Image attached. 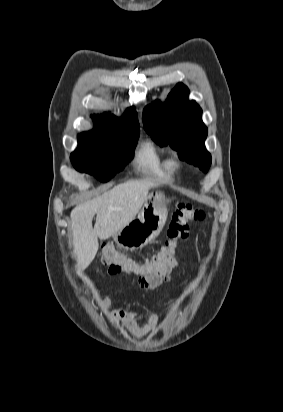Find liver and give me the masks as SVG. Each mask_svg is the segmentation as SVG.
Wrapping results in <instances>:
<instances>
[{"label": "liver", "instance_id": "liver-1", "mask_svg": "<svg viewBox=\"0 0 283 412\" xmlns=\"http://www.w3.org/2000/svg\"><path fill=\"white\" fill-rule=\"evenodd\" d=\"M155 186L147 179L127 181L72 210L70 217L77 272L85 270L95 258L98 238L105 240L114 236L135 219L149 190Z\"/></svg>", "mask_w": 283, "mask_h": 412}]
</instances>
